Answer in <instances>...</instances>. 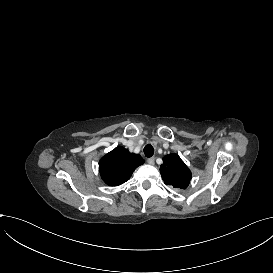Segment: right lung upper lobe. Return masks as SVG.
I'll return each instance as SVG.
<instances>
[{
    "mask_svg": "<svg viewBox=\"0 0 273 273\" xmlns=\"http://www.w3.org/2000/svg\"><path fill=\"white\" fill-rule=\"evenodd\" d=\"M141 164L143 159L139 155L129 153L123 147H117L100 160L99 169L106 184L118 186L126 182Z\"/></svg>",
    "mask_w": 273,
    "mask_h": 273,
    "instance_id": "obj_1",
    "label": "right lung upper lobe"
}]
</instances>
